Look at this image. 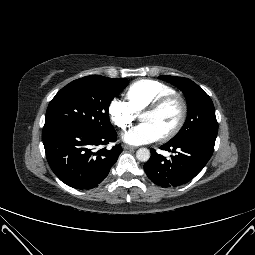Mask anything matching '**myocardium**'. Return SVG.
Returning <instances> with one entry per match:
<instances>
[{
    "label": "myocardium",
    "instance_id": "f54148a6",
    "mask_svg": "<svg viewBox=\"0 0 255 255\" xmlns=\"http://www.w3.org/2000/svg\"><path fill=\"white\" fill-rule=\"evenodd\" d=\"M172 101L179 102L180 115L176 124L169 131L160 136L161 140H168L174 137L183 127L188 114V104L185 97L177 92L163 95L146 106L141 112V115L146 112H156Z\"/></svg>",
    "mask_w": 255,
    "mask_h": 255
}]
</instances>
